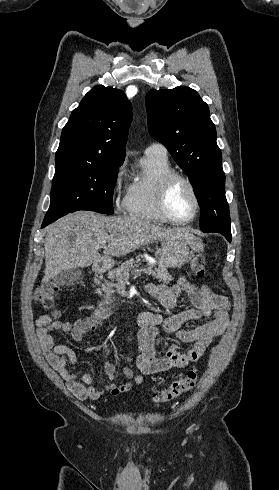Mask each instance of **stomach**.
<instances>
[{
	"instance_id": "0dacf381",
	"label": "stomach",
	"mask_w": 279,
	"mask_h": 490,
	"mask_svg": "<svg viewBox=\"0 0 279 490\" xmlns=\"http://www.w3.org/2000/svg\"><path fill=\"white\" fill-rule=\"evenodd\" d=\"M194 252L190 250V244L179 238H171L168 242H162L160 250L155 252L156 258L164 264L165 268H182L190 262Z\"/></svg>"
}]
</instances>
